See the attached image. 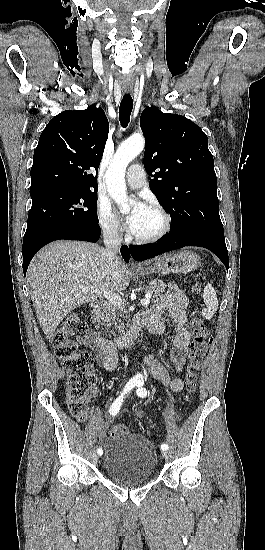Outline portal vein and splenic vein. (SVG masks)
Returning <instances> with one entry per match:
<instances>
[{
    "instance_id": "18ae733b",
    "label": "portal vein and splenic vein",
    "mask_w": 265,
    "mask_h": 550,
    "mask_svg": "<svg viewBox=\"0 0 265 550\" xmlns=\"http://www.w3.org/2000/svg\"><path fill=\"white\" fill-rule=\"evenodd\" d=\"M82 291L83 292H87L89 291V288L88 287H84L82 286L81 287ZM103 296L111 303H114L116 305H121L123 304L125 301L123 298H121V296L115 294V293H112V292H103ZM150 298H151V295H147L145 299L141 300V304L142 305H145V306H148L149 303H150Z\"/></svg>"
}]
</instances>
